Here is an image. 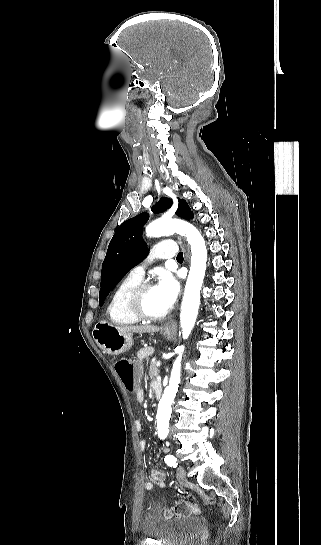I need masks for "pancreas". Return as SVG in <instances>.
I'll return each mask as SVG.
<instances>
[{"mask_svg": "<svg viewBox=\"0 0 321 545\" xmlns=\"http://www.w3.org/2000/svg\"><path fill=\"white\" fill-rule=\"evenodd\" d=\"M159 369L156 367V363H150L149 367V377L150 379H154V377H159Z\"/></svg>", "mask_w": 321, "mask_h": 545, "instance_id": "pancreas-1", "label": "pancreas"}]
</instances>
